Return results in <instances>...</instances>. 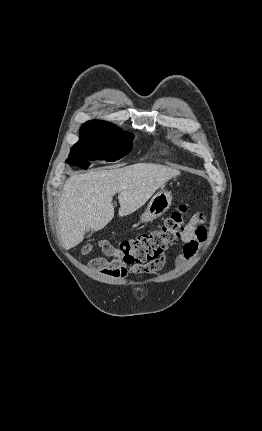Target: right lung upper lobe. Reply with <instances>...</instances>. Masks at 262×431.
<instances>
[{
	"mask_svg": "<svg viewBox=\"0 0 262 431\" xmlns=\"http://www.w3.org/2000/svg\"><path fill=\"white\" fill-rule=\"evenodd\" d=\"M107 124H110V123L105 121H88L84 123L82 126L107 125Z\"/></svg>",
	"mask_w": 262,
	"mask_h": 431,
	"instance_id": "1",
	"label": "right lung upper lobe"
}]
</instances>
